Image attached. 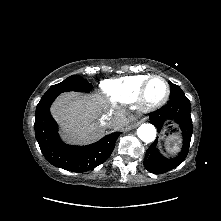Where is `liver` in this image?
Instances as JSON below:
<instances>
[{
  "label": "liver",
  "instance_id": "1",
  "mask_svg": "<svg viewBox=\"0 0 221 221\" xmlns=\"http://www.w3.org/2000/svg\"><path fill=\"white\" fill-rule=\"evenodd\" d=\"M51 113L59 123L63 137L73 144L91 143L99 139L107 127L122 130L130 121L124 109L114 110L99 94L64 93L52 105ZM103 114H113L110 126L101 125Z\"/></svg>",
  "mask_w": 221,
  "mask_h": 221
}]
</instances>
